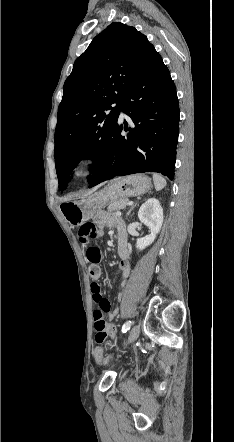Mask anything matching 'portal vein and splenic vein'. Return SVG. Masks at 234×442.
Wrapping results in <instances>:
<instances>
[{
	"mask_svg": "<svg viewBox=\"0 0 234 442\" xmlns=\"http://www.w3.org/2000/svg\"><path fill=\"white\" fill-rule=\"evenodd\" d=\"M127 205H133V202H129V203H127Z\"/></svg>",
	"mask_w": 234,
	"mask_h": 442,
	"instance_id": "1",
	"label": "portal vein and splenic vein"
}]
</instances>
